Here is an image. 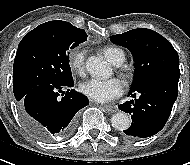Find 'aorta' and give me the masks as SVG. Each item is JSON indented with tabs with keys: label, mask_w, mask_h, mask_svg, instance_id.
<instances>
[{
	"label": "aorta",
	"mask_w": 190,
	"mask_h": 165,
	"mask_svg": "<svg viewBox=\"0 0 190 165\" xmlns=\"http://www.w3.org/2000/svg\"><path fill=\"white\" fill-rule=\"evenodd\" d=\"M87 71L97 77L109 76L111 69L109 64L100 56H91L86 62ZM112 127L118 131L127 130L130 127V118L125 112H118L111 118Z\"/></svg>",
	"instance_id": "762f6f07"
}]
</instances>
